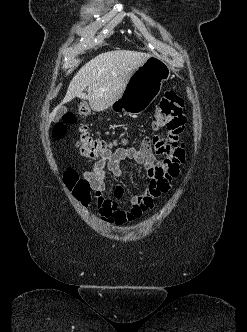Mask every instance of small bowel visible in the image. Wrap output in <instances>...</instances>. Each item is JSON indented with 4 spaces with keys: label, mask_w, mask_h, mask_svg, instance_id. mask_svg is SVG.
Returning <instances> with one entry per match:
<instances>
[{
    "label": "small bowel",
    "mask_w": 247,
    "mask_h": 332,
    "mask_svg": "<svg viewBox=\"0 0 247 332\" xmlns=\"http://www.w3.org/2000/svg\"><path fill=\"white\" fill-rule=\"evenodd\" d=\"M179 134H170L167 141L160 139L158 145L156 139L145 137L139 149L130 147L109 151L94 163L92 169L83 172V179L96 193L102 220L116 225L134 221L153 206L156 198L170 190L172 182L179 175L185 155L184 146L179 142ZM127 159L144 167L148 182L144 192L131 197L129 208L122 210L118 208L115 200L104 198L103 193L106 189L107 174L110 172L114 177L122 178L124 171L120 163ZM123 194V187L118 186L114 192L115 198L120 199Z\"/></svg>",
    "instance_id": "c3829d8e"
}]
</instances>
